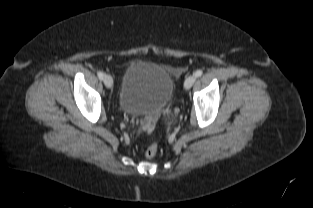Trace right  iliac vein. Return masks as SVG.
<instances>
[{
	"label": "right iliac vein",
	"mask_w": 313,
	"mask_h": 208,
	"mask_svg": "<svg viewBox=\"0 0 313 208\" xmlns=\"http://www.w3.org/2000/svg\"><path fill=\"white\" fill-rule=\"evenodd\" d=\"M103 82L107 88H111L113 85V79L110 75H105L103 78Z\"/></svg>",
	"instance_id": "1"
}]
</instances>
